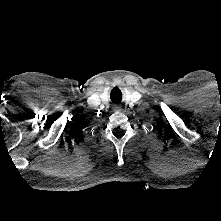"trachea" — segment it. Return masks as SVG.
I'll list each match as a JSON object with an SVG mask.
<instances>
[{
  "instance_id": "trachea-1",
  "label": "trachea",
  "mask_w": 221,
  "mask_h": 221,
  "mask_svg": "<svg viewBox=\"0 0 221 221\" xmlns=\"http://www.w3.org/2000/svg\"><path fill=\"white\" fill-rule=\"evenodd\" d=\"M121 99H122V94H121L120 90H118L117 88H114L111 92V100L114 103H118L121 101Z\"/></svg>"
}]
</instances>
